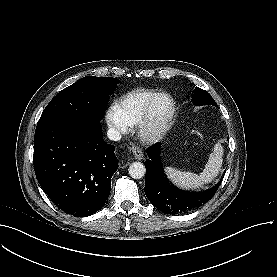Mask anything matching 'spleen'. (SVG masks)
<instances>
[{
  "mask_svg": "<svg viewBox=\"0 0 277 277\" xmlns=\"http://www.w3.org/2000/svg\"><path fill=\"white\" fill-rule=\"evenodd\" d=\"M222 156L223 147L218 142L214 146V150L210 154L208 162L200 175L180 171L172 167H166L164 170L168 178L178 186L185 189H195L211 182L218 175L222 166Z\"/></svg>",
  "mask_w": 277,
  "mask_h": 277,
  "instance_id": "spleen-1",
  "label": "spleen"
}]
</instances>
